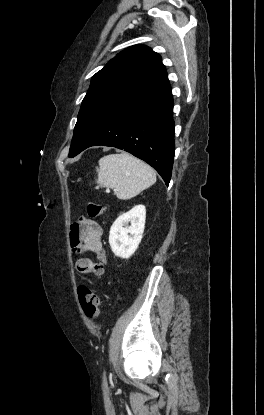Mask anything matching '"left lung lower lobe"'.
<instances>
[{"label":"left lung lower lobe","instance_id":"left-lung-lower-lobe-1","mask_svg":"<svg viewBox=\"0 0 264 415\" xmlns=\"http://www.w3.org/2000/svg\"><path fill=\"white\" fill-rule=\"evenodd\" d=\"M172 114L171 86L165 77L109 109L75 156L91 146L116 147L147 162L168 185L175 150Z\"/></svg>","mask_w":264,"mask_h":415}]
</instances>
